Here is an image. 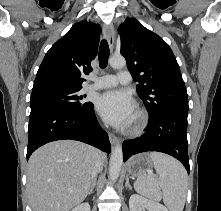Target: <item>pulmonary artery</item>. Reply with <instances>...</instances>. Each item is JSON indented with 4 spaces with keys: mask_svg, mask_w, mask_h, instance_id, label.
Returning a JSON list of instances; mask_svg holds the SVG:
<instances>
[{
    "mask_svg": "<svg viewBox=\"0 0 221 211\" xmlns=\"http://www.w3.org/2000/svg\"><path fill=\"white\" fill-rule=\"evenodd\" d=\"M92 81L85 86L87 90H98L114 87L118 84L128 85L131 83V74L129 71H120L117 75H105L102 77L94 78L89 77Z\"/></svg>",
    "mask_w": 221,
    "mask_h": 211,
    "instance_id": "pulmonary-artery-1",
    "label": "pulmonary artery"
}]
</instances>
